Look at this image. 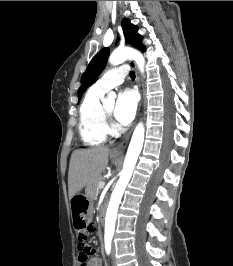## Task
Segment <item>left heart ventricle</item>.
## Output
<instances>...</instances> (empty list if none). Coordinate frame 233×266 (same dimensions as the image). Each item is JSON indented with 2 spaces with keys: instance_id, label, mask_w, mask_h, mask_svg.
Masks as SVG:
<instances>
[{
  "instance_id": "left-heart-ventricle-1",
  "label": "left heart ventricle",
  "mask_w": 233,
  "mask_h": 266,
  "mask_svg": "<svg viewBox=\"0 0 233 266\" xmlns=\"http://www.w3.org/2000/svg\"><path fill=\"white\" fill-rule=\"evenodd\" d=\"M105 109H106V111L109 114H112L114 112V110H115V104H114V102L105 105Z\"/></svg>"
}]
</instances>
